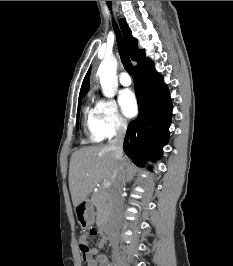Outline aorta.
<instances>
[{
    "mask_svg": "<svg viewBox=\"0 0 233 266\" xmlns=\"http://www.w3.org/2000/svg\"><path fill=\"white\" fill-rule=\"evenodd\" d=\"M117 66L118 62L115 57H107L101 62L97 71L102 92L108 98L114 97L118 90Z\"/></svg>",
    "mask_w": 233,
    "mask_h": 266,
    "instance_id": "762f6f07",
    "label": "aorta"
}]
</instances>
